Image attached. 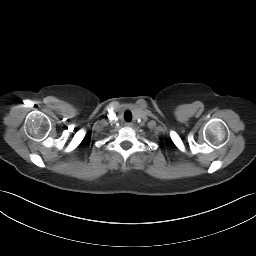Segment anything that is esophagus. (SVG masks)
Here are the masks:
<instances>
[{
  "label": "esophagus",
  "instance_id": "34e87169",
  "mask_svg": "<svg viewBox=\"0 0 256 256\" xmlns=\"http://www.w3.org/2000/svg\"><path fill=\"white\" fill-rule=\"evenodd\" d=\"M125 125L128 126V127H131V126H133V123H131V122H126Z\"/></svg>",
  "mask_w": 256,
  "mask_h": 256
}]
</instances>
